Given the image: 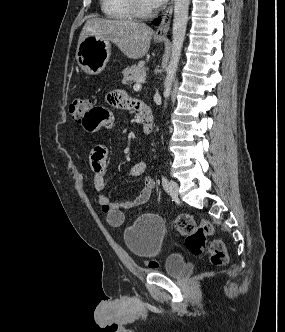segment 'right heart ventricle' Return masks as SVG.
<instances>
[{
  "label": "right heart ventricle",
  "instance_id": "e07e8e85",
  "mask_svg": "<svg viewBox=\"0 0 285 332\" xmlns=\"http://www.w3.org/2000/svg\"><path fill=\"white\" fill-rule=\"evenodd\" d=\"M100 5L104 16L111 20L126 21L135 17L129 0H100Z\"/></svg>",
  "mask_w": 285,
  "mask_h": 332
}]
</instances>
